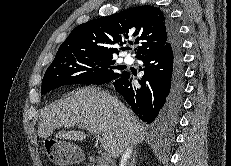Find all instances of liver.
Instances as JSON below:
<instances>
[{"mask_svg": "<svg viewBox=\"0 0 231 166\" xmlns=\"http://www.w3.org/2000/svg\"><path fill=\"white\" fill-rule=\"evenodd\" d=\"M103 134L102 147L116 159L130 145L141 143L146 131L139 119L116 97L93 87L72 91L68 97L45 107L39 117L38 136L47 139L61 127H73ZM82 131H60L57 138L82 141Z\"/></svg>", "mask_w": 231, "mask_h": 166, "instance_id": "liver-1", "label": "liver"}]
</instances>
